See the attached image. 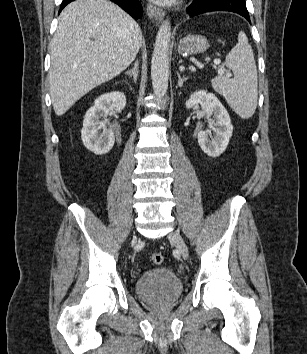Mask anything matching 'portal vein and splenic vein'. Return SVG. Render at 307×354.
Wrapping results in <instances>:
<instances>
[{
	"mask_svg": "<svg viewBox=\"0 0 307 354\" xmlns=\"http://www.w3.org/2000/svg\"><path fill=\"white\" fill-rule=\"evenodd\" d=\"M103 56L106 57L107 54L105 53V54H103ZM220 63H221V60H220V59H215V60H214V65H219ZM220 73H223V71L220 70ZM227 76H231V74H230V73H227Z\"/></svg>",
	"mask_w": 307,
	"mask_h": 354,
	"instance_id": "portal-vein-and-splenic-vein-1",
	"label": "portal vein and splenic vein"
}]
</instances>
